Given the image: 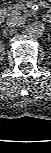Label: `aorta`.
Instances as JSON below:
<instances>
[{
	"label": "aorta",
	"instance_id": "1",
	"mask_svg": "<svg viewBox=\"0 0 51 153\" xmlns=\"http://www.w3.org/2000/svg\"><path fill=\"white\" fill-rule=\"evenodd\" d=\"M45 32V25L41 21L31 23L27 28V34L32 38H39Z\"/></svg>",
	"mask_w": 51,
	"mask_h": 153
}]
</instances>
